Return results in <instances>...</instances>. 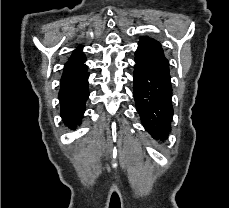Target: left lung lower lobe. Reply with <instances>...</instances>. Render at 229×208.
I'll return each mask as SVG.
<instances>
[{
  "label": "left lung lower lobe",
  "instance_id": "0a47b994",
  "mask_svg": "<svg viewBox=\"0 0 229 208\" xmlns=\"http://www.w3.org/2000/svg\"><path fill=\"white\" fill-rule=\"evenodd\" d=\"M134 67V99L141 122L150 136L165 141L173 118L171 84L157 79L139 60Z\"/></svg>",
  "mask_w": 229,
  "mask_h": 208
}]
</instances>
